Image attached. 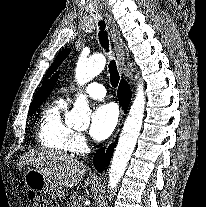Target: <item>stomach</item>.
Wrapping results in <instances>:
<instances>
[{
    "label": "stomach",
    "instance_id": "0dacf381",
    "mask_svg": "<svg viewBox=\"0 0 206 207\" xmlns=\"http://www.w3.org/2000/svg\"><path fill=\"white\" fill-rule=\"evenodd\" d=\"M23 180L29 189L51 197L60 196L63 193L62 190L54 186L53 182L35 168H27L24 172Z\"/></svg>",
    "mask_w": 206,
    "mask_h": 207
}]
</instances>
